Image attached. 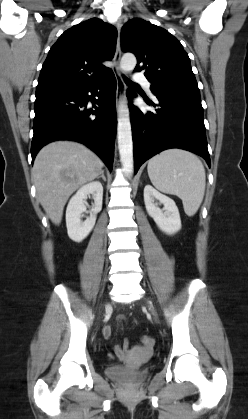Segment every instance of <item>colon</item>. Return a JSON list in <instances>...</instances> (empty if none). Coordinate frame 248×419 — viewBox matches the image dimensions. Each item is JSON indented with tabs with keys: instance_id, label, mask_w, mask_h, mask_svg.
I'll list each match as a JSON object with an SVG mask.
<instances>
[{
	"instance_id": "5ec220e1",
	"label": "colon",
	"mask_w": 248,
	"mask_h": 419,
	"mask_svg": "<svg viewBox=\"0 0 248 419\" xmlns=\"http://www.w3.org/2000/svg\"><path fill=\"white\" fill-rule=\"evenodd\" d=\"M141 342L147 349H151L153 347V339L149 336H143L141 338Z\"/></svg>"
}]
</instances>
